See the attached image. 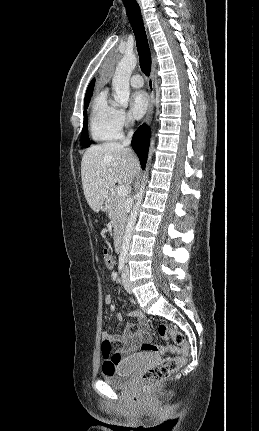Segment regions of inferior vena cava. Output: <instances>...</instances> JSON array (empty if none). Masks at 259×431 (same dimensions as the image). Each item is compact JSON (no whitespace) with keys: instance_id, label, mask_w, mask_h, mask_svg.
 I'll return each instance as SVG.
<instances>
[{"instance_id":"inferior-vena-cava-1","label":"inferior vena cava","mask_w":259,"mask_h":431,"mask_svg":"<svg viewBox=\"0 0 259 431\" xmlns=\"http://www.w3.org/2000/svg\"><path fill=\"white\" fill-rule=\"evenodd\" d=\"M128 121L130 123L134 122L132 118H129ZM132 135H133V130H130L129 133H128V135H127V137L122 142V145L124 147H127V146H129L131 144Z\"/></svg>"}]
</instances>
